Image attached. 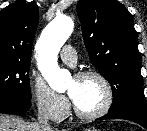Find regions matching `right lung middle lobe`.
I'll return each mask as SVG.
<instances>
[{"label":"right lung middle lobe","instance_id":"dd1d6c3e","mask_svg":"<svg viewBox=\"0 0 147 131\" xmlns=\"http://www.w3.org/2000/svg\"><path fill=\"white\" fill-rule=\"evenodd\" d=\"M30 62L0 60V98L31 102Z\"/></svg>","mask_w":147,"mask_h":131}]
</instances>
